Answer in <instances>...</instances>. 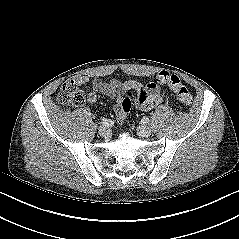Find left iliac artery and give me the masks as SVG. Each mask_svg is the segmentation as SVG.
Masks as SVG:
<instances>
[{
    "instance_id": "left-iliac-artery-1",
    "label": "left iliac artery",
    "mask_w": 239,
    "mask_h": 239,
    "mask_svg": "<svg viewBox=\"0 0 239 239\" xmlns=\"http://www.w3.org/2000/svg\"><path fill=\"white\" fill-rule=\"evenodd\" d=\"M142 122H143V123H148V122H149V118L146 117V116H144V117L142 118Z\"/></svg>"
}]
</instances>
